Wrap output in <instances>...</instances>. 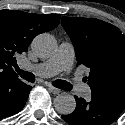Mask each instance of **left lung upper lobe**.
Returning <instances> with one entry per match:
<instances>
[{
    "label": "left lung upper lobe",
    "mask_w": 125,
    "mask_h": 125,
    "mask_svg": "<svg viewBox=\"0 0 125 125\" xmlns=\"http://www.w3.org/2000/svg\"><path fill=\"white\" fill-rule=\"evenodd\" d=\"M61 25L75 48L78 65L90 68L85 80L92 94L125 97V36L98 19L62 17Z\"/></svg>",
    "instance_id": "1"
}]
</instances>
